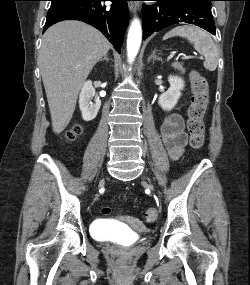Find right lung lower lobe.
<instances>
[{"label":"right lung lower lobe","instance_id":"98d812e1","mask_svg":"<svg viewBox=\"0 0 250 285\" xmlns=\"http://www.w3.org/2000/svg\"><path fill=\"white\" fill-rule=\"evenodd\" d=\"M70 0L51 5L43 31L63 20H80L100 30L120 53L123 36L129 23L128 0Z\"/></svg>","mask_w":250,"mask_h":285}]
</instances>
